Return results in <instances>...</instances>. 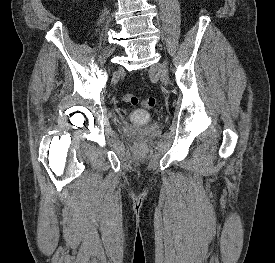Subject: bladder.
Instances as JSON below:
<instances>
[{
    "instance_id": "obj_1",
    "label": "bladder",
    "mask_w": 275,
    "mask_h": 263,
    "mask_svg": "<svg viewBox=\"0 0 275 263\" xmlns=\"http://www.w3.org/2000/svg\"><path fill=\"white\" fill-rule=\"evenodd\" d=\"M150 117H151L150 113H148L147 111L137 109V110H134L130 113L129 121L132 124L145 125L149 122Z\"/></svg>"
}]
</instances>
